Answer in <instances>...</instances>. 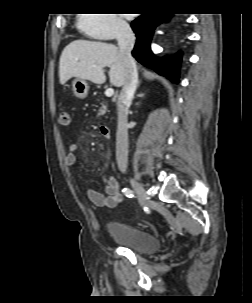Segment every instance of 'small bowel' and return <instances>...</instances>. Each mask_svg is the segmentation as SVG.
Instances as JSON below:
<instances>
[{
  "mask_svg": "<svg viewBox=\"0 0 252 303\" xmlns=\"http://www.w3.org/2000/svg\"><path fill=\"white\" fill-rule=\"evenodd\" d=\"M77 150H78L77 143L69 144L68 153L65 157V164L67 166L74 167L76 165ZM102 180L106 191V195H103L98 191L89 189L87 191V196L89 200L99 208H107V209L115 208L124 200V196L121 190V185L119 181L111 175H104Z\"/></svg>",
  "mask_w": 252,
  "mask_h": 303,
  "instance_id": "obj_1",
  "label": "small bowel"
}]
</instances>
